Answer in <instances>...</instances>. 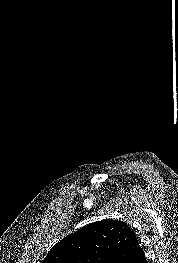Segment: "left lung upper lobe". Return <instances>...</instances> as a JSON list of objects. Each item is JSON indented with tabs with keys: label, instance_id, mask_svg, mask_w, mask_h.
I'll return each instance as SVG.
<instances>
[{
	"label": "left lung upper lobe",
	"instance_id": "obj_1",
	"mask_svg": "<svg viewBox=\"0 0 178 263\" xmlns=\"http://www.w3.org/2000/svg\"><path fill=\"white\" fill-rule=\"evenodd\" d=\"M130 232V227L118 220L91 223L54 245L41 263H109Z\"/></svg>",
	"mask_w": 178,
	"mask_h": 263
}]
</instances>
